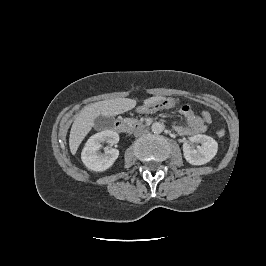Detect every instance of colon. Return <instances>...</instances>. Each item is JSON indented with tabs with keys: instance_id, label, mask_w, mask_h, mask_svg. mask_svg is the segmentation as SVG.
<instances>
[{
	"instance_id": "colon-1",
	"label": "colon",
	"mask_w": 266,
	"mask_h": 266,
	"mask_svg": "<svg viewBox=\"0 0 266 266\" xmlns=\"http://www.w3.org/2000/svg\"><path fill=\"white\" fill-rule=\"evenodd\" d=\"M201 119H202L204 122H206V123H211L212 120H213V117H212V115H211L210 112H208V111H203V112H201ZM217 135H218L219 137H223V136L225 135V130H223V129L218 130V131H217Z\"/></svg>"
}]
</instances>
